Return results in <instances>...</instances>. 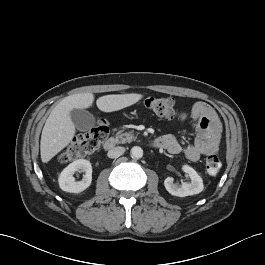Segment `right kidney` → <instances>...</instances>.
Here are the masks:
<instances>
[{"mask_svg": "<svg viewBox=\"0 0 265 265\" xmlns=\"http://www.w3.org/2000/svg\"><path fill=\"white\" fill-rule=\"evenodd\" d=\"M83 171L85 175L81 181H75L73 174L76 171ZM92 181V166L88 160L78 159L70 163L60 173L58 182L63 191L70 193H80L87 189Z\"/></svg>", "mask_w": 265, "mask_h": 265, "instance_id": "right-kidney-1", "label": "right kidney"}]
</instances>
